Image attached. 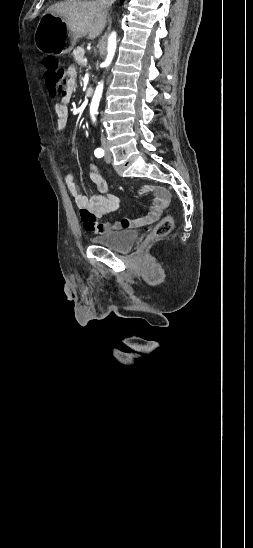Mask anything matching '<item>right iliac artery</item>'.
Listing matches in <instances>:
<instances>
[{
    "mask_svg": "<svg viewBox=\"0 0 253 548\" xmlns=\"http://www.w3.org/2000/svg\"><path fill=\"white\" fill-rule=\"evenodd\" d=\"M94 154H95L96 157L101 158V157L104 156V150L102 148H97L94 151Z\"/></svg>",
    "mask_w": 253,
    "mask_h": 548,
    "instance_id": "1",
    "label": "right iliac artery"
}]
</instances>
